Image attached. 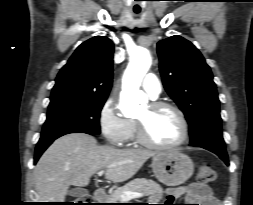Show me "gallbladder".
I'll return each instance as SVG.
<instances>
[{
	"label": "gallbladder",
	"instance_id": "bac80fb5",
	"mask_svg": "<svg viewBox=\"0 0 253 205\" xmlns=\"http://www.w3.org/2000/svg\"><path fill=\"white\" fill-rule=\"evenodd\" d=\"M68 194L73 197L83 198L85 196H88L89 193L86 189L75 188L69 190Z\"/></svg>",
	"mask_w": 253,
	"mask_h": 205
}]
</instances>
